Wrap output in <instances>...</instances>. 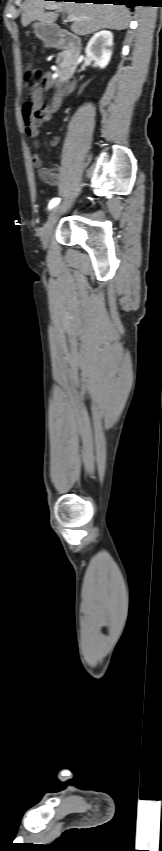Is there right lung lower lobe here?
Wrapping results in <instances>:
<instances>
[{"label": "right lung lower lobe", "instance_id": "right-lung-lower-lobe-1", "mask_svg": "<svg viewBox=\"0 0 162 851\" xmlns=\"http://www.w3.org/2000/svg\"><path fill=\"white\" fill-rule=\"evenodd\" d=\"M62 1V0H58ZM64 1V0H63ZM75 2H85V3H95V4H109L112 3L114 5H127L128 7L135 6V0H74Z\"/></svg>", "mask_w": 162, "mask_h": 851}]
</instances>
